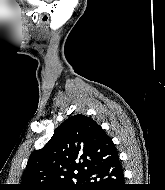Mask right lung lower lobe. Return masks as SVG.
Instances as JSON below:
<instances>
[{
	"mask_svg": "<svg viewBox=\"0 0 165 190\" xmlns=\"http://www.w3.org/2000/svg\"><path fill=\"white\" fill-rule=\"evenodd\" d=\"M78 190H126L118 153L87 170Z\"/></svg>",
	"mask_w": 165,
	"mask_h": 190,
	"instance_id": "1",
	"label": "right lung lower lobe"
}]
</instances>
